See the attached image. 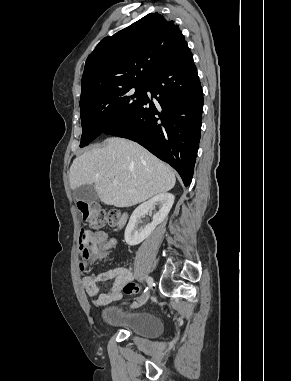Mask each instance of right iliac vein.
Returning a JSON list of instances; mask_svg holds the SVG:
<instances>
[{"label": "right iliac vein", "instance_id": "63e3f726", "mask_svg": "<svg viewBox=\"0 0 291 381\" xmlns=\"http://www.w3.org/2000/svg\"><path fill=\"white\" fill-rule=\"evenodd\" d=\"M149 293H146L143 297H141L137 302L131 305V308L136 309L141 307L148 299Z\"/></svg>", "mask_w": 291, "mask_h": 381}]
</instances>
